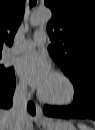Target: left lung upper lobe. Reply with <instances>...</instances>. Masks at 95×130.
<instances>
[{
	"label": "left lung upper lobe",
	"mask_w": 95,
	"mask_h": 130,
	"mask_svg": "<svg viewBox=\"0 0 95 130\" xmlns=\"http://www.w3.org/2000/svg\"><path fill=\"white\" fill-rule=\"evenodd\" d=\"M52 11L47 31L52 41L49 54L78 85L95 73V0H45Z\"/></svg>",
	"instance_id": "1"
}]
</instances>
